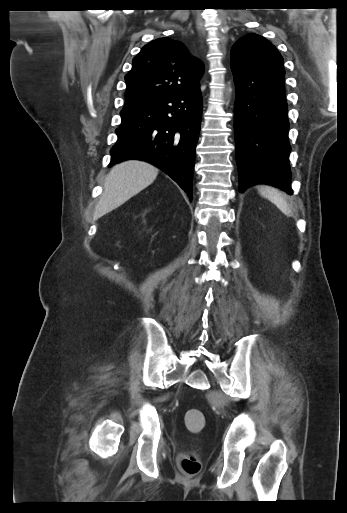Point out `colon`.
I'll return each mask as SVG.
<instances>
[{"label":"colon","instance_id":"colon-1","mask_svg":"<svg viewBox=\"0 0 347 513\" xmlns=\"http://www.w3.org/2000/svg\"><path fill=\"white\" fill-rule=\"evenodd\" d=\"M185 424L194 432H201L205 426V417L198 409H189L185 413ZM178 464L181 473L187 478H193L200 471V460L195 452H186L179 456Z\"/></svg>","mask_w":347,"mask_h":513}]
</instances>
